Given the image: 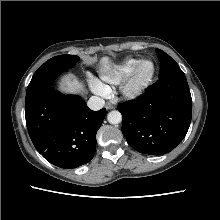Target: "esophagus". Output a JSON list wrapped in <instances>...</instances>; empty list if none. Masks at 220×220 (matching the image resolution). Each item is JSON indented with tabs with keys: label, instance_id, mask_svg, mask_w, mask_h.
<instances>
[{
	"label": "esophagus",
	"instance_id": "obj_1",
	"mask_svg": "<svg viewBox=\"0 0 220 220\" xmlns=\"http://www.w3.org/2000/svg\"><path fill=\"white\" fill-rule=\"evenodd\" d=\"M105 107H106V109H109V110L115 108L111 103H107V104L105 105Z\"/></svg>",
	"mask_w": 220,
	"mask_h": 220
}]
</instances>
